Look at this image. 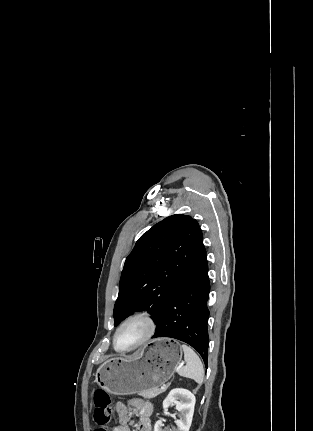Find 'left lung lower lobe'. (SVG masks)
<instances>
[{
	"mask_svg": "<svg viewBox=\"0 0 313 431\" xmlns=\"http://www.w3.org/2000/svg\"><path fill=\"white\" fill-rule=\"evenodd\" d=\"M210 291L206 255L188 280L173 294L156 321L154 337H171L188 343L207 367Z\"/></svg>",
	"mask_w": 313,
	"mask_h": 431,
	"instance_id": "left-lung-lower-lobe-1",
	"label": "left lung lower lobe"
}]
</instances>
